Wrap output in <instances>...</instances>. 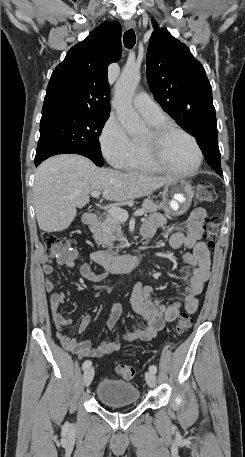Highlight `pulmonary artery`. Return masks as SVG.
<instances>
[{"label": "pulmonary artery", "mask_w": 245, "mask_h": 457, "mask_svg": "<svg viewBox=\"0 0 245 457\" xmlns=\"http://www.w3.org/2000/svg\"><path fill=\"white\" fill-rule=\"evenodd\" d=\"M135 109L146 119H157L163 115V111L155 102L149 100L148 93H136L132 99Z\"/></svg>", "instance_id": "e3ab8cb5"}]
</instances>
